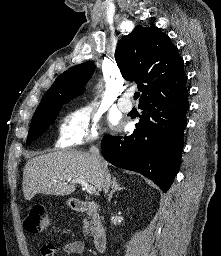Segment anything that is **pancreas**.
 I'll return each instance as SVG.
<instances>
[{
	"mask_svg": "<svg viewBox=\"0 0 221 256\" xmlns=\"http://www.w3.org/2000/svg\"><path fill=\"white\" fill-rule=\"evenodd\" d=\"M83 223H84V226H83V233H84V234H88L89 231L91 230L92 225H91V223H89V221L87 220V218L84 219Z\"/></svg>",
	"mask_w": 221,
	"mask_h": 256,
	"instance_id": "cf45deb5",
	"label": "pancreas"
}]
</instances>
